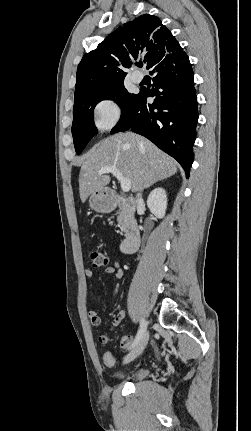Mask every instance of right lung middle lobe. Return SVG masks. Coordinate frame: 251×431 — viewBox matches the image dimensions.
<instances>
[{"label": "right lung middle lobe", "instance_id": "dd1d6c3e", "mask_svg": "<svg viewBox=\"0 0 251 431\" xmlns=\"http://www.w3.org/2000/svg\"><path fill=\"white\" fill-rule=\"evenodd\" d=\"M135 94H130L124 87L123 80L110 86L75 96L73 107L72 135L76 153L79 155L98 133L94 126L93 110L102 100H115L122 112Z\"/></svg>", "mask_w": 251, "mask_h": 431}]
</instances>
